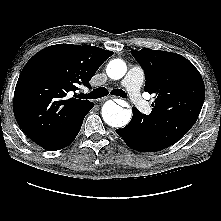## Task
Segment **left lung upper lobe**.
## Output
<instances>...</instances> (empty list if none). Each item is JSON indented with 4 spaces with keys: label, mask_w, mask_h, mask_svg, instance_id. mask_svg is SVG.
Here are the masks:
<instances>
[{
    "label": "left lung upper lobe",
    "mask_w": 221,
    "mask_h": 221,
    "mask_svg": "<svg viewBox=\"0 0 221 221\" xmlns=\"http://www.w3.org/2000/svg\"><path fill=\"white\" fill-rule=\"evenodd\" d=\"M145 72L144 90L156 94L150 115L137 122L151 146L165 149L195 124L205 98L203 79L183 56L160 50H131Z\"/></svg>",
    "instance_id": "5c2ea615"
}]
</instances>
